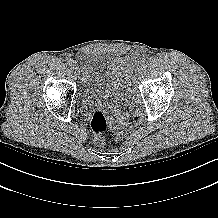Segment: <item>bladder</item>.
<instances>
[{"label":"bladder","instance_id":"31cf9c89","mask_svg":"<svg viewBox=\"0 0 218 218\" xmlns=\"http://www.w3.org/2000/svg\"><path fill=\"white\" fill-rule=\"evenodd\" d=\"M135 59L110 57L90 52L78 56L79 97L83 105L108 103L130 83Z\"/></svg>","mask_w":218,"mask_h":218}]
</instances>
